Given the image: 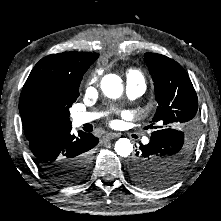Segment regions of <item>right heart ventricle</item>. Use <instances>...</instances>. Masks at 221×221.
I'll list each match as a JSON object with an SVG mask.
<instances>
[{
    "label": "right heart ventricle",
    "mask_w": 221,
    "mask_h": 221,
    "mask_svg": "<svg viewBox=\"0 0 221 221\" xmlns=\"http://www.w3.org/2000/svg\"><path fill=\"white\" fill-rule=\"evenodd\" d=\"M127 78L129 79H141L142 80V75L138 70L130 69L127 72Z\"/></svg>",
    "instance_id": "obj_1"
}]
</instances>
